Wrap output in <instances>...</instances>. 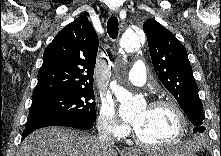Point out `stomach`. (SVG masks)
<instances>
[{
    "label": "stomach",
    "instance_id": "0dacf381",
    "mask_svg": "<svg viewBox=\"0 0 221 156\" xmlns=\"http://www.w3.org/2000/svg\"><path fill=\"white\" fill-rule=\"evenodd\" d=\"M157 156H196L192 150L186 149V146H176L163 149Z\"/></svg>",
    "mask_w": 221,
    "mask_h": 156
}]
</instances>
